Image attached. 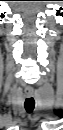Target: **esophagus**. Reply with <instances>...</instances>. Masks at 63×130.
Returning <instances> with one entry per match:
<instances>
[{
    "instance_id": "34e87169",
    "label": "esophagus",
    "mask_w": 63,
    "mask_h": 130,
    "mask_svg": "<svg viewBox=\"0 0 63 130\" xmlns=\"http://www.w3.org/2000/svg\"><path fill=\"white\" fill-rule=\"evenodd\" d=\"M27 96L31 97L33 96V93H27Z\"/></svg>"
}]
</instances>
